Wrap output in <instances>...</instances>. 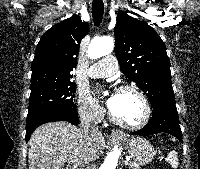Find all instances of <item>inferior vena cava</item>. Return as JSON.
Returning a JSON list of instances; mask_svg holds the SVG:
<instances>
[{
  "mask_svg": "<svg viewBox=\"0 0 200 169\" xmlns=\"http://www.w3.org/2000/svg\"><path fill=\"white\" fill-rule=\"evenodd\" d=\"M81 129L84 134L99 132V126L92 119L85 116L81 119Z\"/></svg>",
  "mask_w": 200,
  "mask_h": 169,
  "instance_id": "inferior-vena-cava-1",
  "label": "inferior vena cava"
}]
</instances>
